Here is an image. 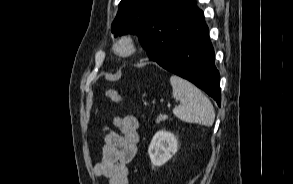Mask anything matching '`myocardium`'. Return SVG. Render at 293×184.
<instances>
[{"mask_svg":"<svg viewBox=\"0 0 293 184\" xmlns=\"http://www.w3.org/2000/svg\"><path fill=\"white\" fill-rule=\"evenodd\" d=\"M139 48L137 39L131 34H124L116 39L113 44L114 52L121 57L134 55Z\"/></svg>","mask_w":293,"mask_h":184,"instance_id":"f54148a6","label":"myocardium"}]
</instances>
